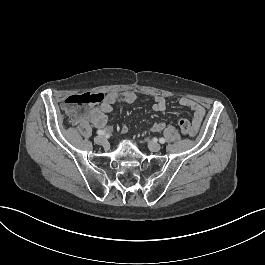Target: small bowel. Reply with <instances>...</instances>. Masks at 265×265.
<instances>
[{"instance_id": "c3829d8e", "label": "small bowel", "mask_w": 265, "mask_h": 265, "mask_svg": "<svg viewBox=\"0 0 265 265\" xmlns=\"http://www.w3.org/2000/svg\"><path fill=\"white\" fill-rule=\"evenodd\" d=\"M137 96L131 91H111L106 94L104 100L98 106H93L81 110L79 116L76 118L75 114H72L73 122L79 124L82 127H86L92 124L96 128L103 129L107 127L108 114L111 112L114 105L130 104L135 102ZM181 106L190 109L193 112V116L189 121L192 126L190 135H195L203 121L205 115V109L198 101L189 98L181 97L179 100ZM166 108V98L163 95H157L154 98L153 110L156 112H162ZM165 124L163 122H157L152 126V131L159 132L164 129ZM122 134L128 132L127 126H122Z\"/></svg>"}]
</instances>
